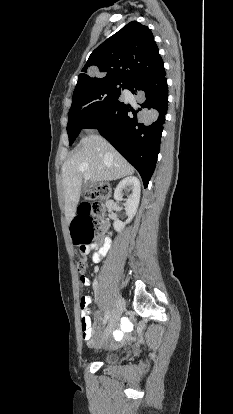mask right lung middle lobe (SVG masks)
<instances>
[{"label":"right lung middle lobe","instance_id":"right-lung-middle-lobe-1","mask_svg":"<svg viewBox=\"0 0 233 414\" xmlns=\"http://www.w3.org/2000/svg\"><path fill=\"white\" fill-rule=\"evenodd\" d=\"M127 85L128 83L121 81H105L73 94L67 124L70 145L88 121L119 100L121 89L126 88Z\"/></svg>","mask_w":233,"mask_h":414}]
</instances>
